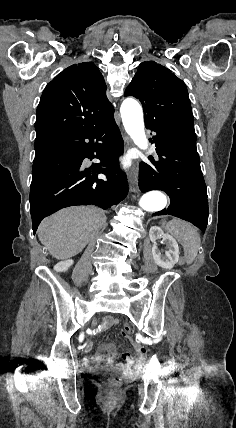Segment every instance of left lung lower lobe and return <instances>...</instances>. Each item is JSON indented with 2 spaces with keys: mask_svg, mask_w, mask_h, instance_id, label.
Segmentation results:
<instances>
[{
  "mask_svg": "<svg viewBox=\"0 0 236 428\" xmlns=\"http://www.w3.org/2000/svg\"><path fill=\"white\" fill-rule=\"evenodd\" d=\"M154 133L150 142L155 143L159 157L153 169L141 163L139 187L145 193L161 190L170 196L171 204L156 215H172L189 221L201 231L208 224L206 184L200 167L196 146L183 142L167 129L147 126Z\"/></svg>",
  "mask_w": 236,
  "mask_h": 428,
  "instance_id": "obj_1",
  "label": "left lung lower lobe"
}]
</instances>
